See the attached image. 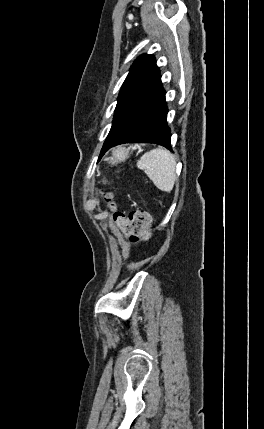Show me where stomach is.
<instances>
[{
  "instance_id": "stomach-1",
  "label": "stomach",
  "mask_w": 264,
  "mask_h": 429,
  "mask_svg": "<svg viewBox=\"0 0 264 429\" xmlns=\"http://www.w3.org/2000/svg\"><path fill=\"white\" fill-rule=\"evenodd\" d=\"M129 156V149L124 147H119L115 149L112 153V156L108 158V163L114 165L119 162L124 161Z\"/></svg>"
}]
</instances>
